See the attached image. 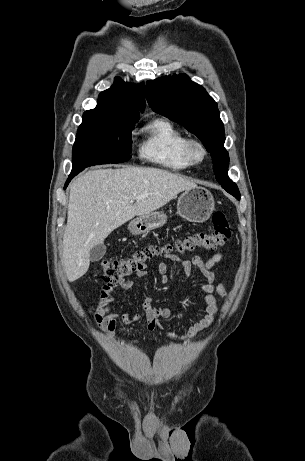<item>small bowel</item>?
Instances as JSON below:
<instances>
[{
  "mask_svg": "<svg viewBox=\"0 0 305 461\" xmlns=\"http://www.w3.org/2000/svg\"><path fill=\"white\" fill-rule=\"evenodd\" d=\"M164 257L181 266L184 274L191 279L194 270L200 272L205 282L199 286L202 293L205 306V315L194 325H192L185 334L178 335L174 332H166V335L171 339H190L195 337L198 333L208 328L214 321V315L217 313V299L214 293L217 292L221 297H226L227 291L223 284H215V274L213 268L223 258L221 253H216L209 259L204 260L200 256H193L190 259H182L176 254H165ZM157 271L160 276V281L164 285H168L170 278L168 275V266L164 262H159ZM139 278L146 277L148 272L145 266L135 272ZM120 287L123 290H130L134 287L132 280H121L114 284H106L99 292V298L96 305L95 319L104 333L113 337L118 320L124 324H134L141 320L142 315L147 321V328L149 332L161 329L159 320L170 318L174 311L167 307H155L152 304V299L146 297L141 303V314H128L124 313L118 315L112 311V303L114 301V289ZM140 340L135 339L133 343H139Z\"/></svg>",
  "mask_w": 305,
  "mask_h": 461,
  "instance_id": "1",
  "label": "small bowel"
}]
</instances>
